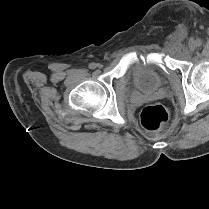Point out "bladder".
I'll list each match as a JSON object with an SVG mask.
<instances>
[{"label": "bladder", "instance_id": "1", "mask_svg": "<svg viewBox=\"0 0 209 209\" xmlns=\"http://www.w3.org/2000/svg\"><path fill=\"white\" fill-rule=\"evenodd\" d=\"M132 76L136 88L146 95L154 94L163 84V76L153 64L136 65Z\"/></svg>", "mask_w": 209, "mask_h": 209}]
</instances>
